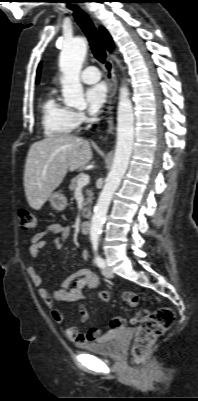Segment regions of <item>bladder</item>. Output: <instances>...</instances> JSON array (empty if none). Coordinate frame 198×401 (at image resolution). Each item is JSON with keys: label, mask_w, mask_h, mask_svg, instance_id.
<instances>
[{"label": "bladder", "mask_w": 198, "mask_h": 401, "mask_svg": "<svg viewBox=\"0 0 198 401\" xmlns=\"http://www.w3.org/2000/svg\"><path fill=\"white\" fill-rule=\"evenodd\" d=\"M119 334H121L119 330H109L95 342L85 344L84 350L97 355L117 357L121 353V346L117 342Z\"/></svg>", "instance_id": "1"}]
</instances>
